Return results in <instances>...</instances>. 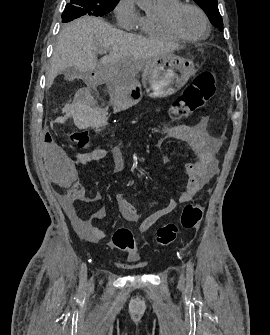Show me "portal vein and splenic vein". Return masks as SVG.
Wrapping results in <instances>:
<instances>
[{
	"label": "portal vein and splenic vein",
	"instance_id": "18ae733b",
	"mask_svg": "<svg viewBox=\"0 0 270 335\" xmlns=\"http://www.w3.org/2000/svg\"><path fill=\"white\" fill-rule=\"evenodd\" d=\"M98 54H107V50H100V52H98Z\"/></svg>",
	"mask_w": 270,
	"mask_h": 335
}]
</instances>
